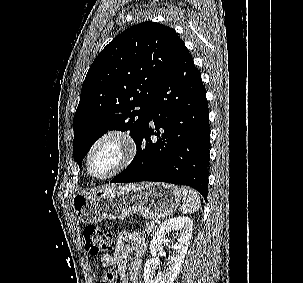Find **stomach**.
Here are the masks:
<instances>
[{
  "label": "stomach",
  "instance_id": "1",
  "mask_svg": "<svg viewBox=\"0 0 303 283\" xmlns=\"http://www.w3.org/2000/svg\"><path fill=\"white\" fill-rule=\"evenodd\" d=\"M181 199V190L172 184L140 183L78 193L73 196L72 205L81 222L97 224L134 214L146 219L166 218L180 206Z\"/></svg>",
  "mask_w": 303,
  "mask_h": 283
}]
</instances>
